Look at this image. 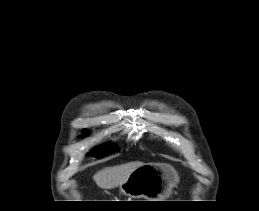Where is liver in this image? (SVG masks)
Instances as JSON below:
<instances>
[{"mask_svg":"<svg viewBox=\"0 0 259 211\" xmlns=\"http://www.w3.org/2000/svg\"><path fill=\"white\" fill-rule=\"evenodd\" d=\"M143 165H145L143 162L135 161L107 167L98 171L93 180L102 189H113L123 184L134 170Z\"/></svg>","mask_w":259,"mask_h":211,"instance_id":"6515ba94","label":"liver"}]
</instances>
